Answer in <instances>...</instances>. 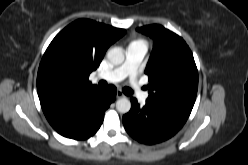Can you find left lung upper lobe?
I'll return each mask as SVG.
<instances>
[{
    "instance_id": "left-lung-upper-lobe-1",
    "label": "left lung upper lobe",
    "mask_w": 248,
    "mask_h": 165,
    "mask_svg": "<svg viewBox=\"0 0 248 165\" xmlns=\"http://www.w3.org/2000/svg\"><path fill=\"white\" fill-rule=\"evenodd\" d=\"M154 40L145 73L149 77L147 100L190 114L198 89V71L186 42L161 25L137 29Z\"/></svg>"
}]
</instances>
